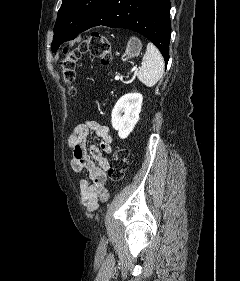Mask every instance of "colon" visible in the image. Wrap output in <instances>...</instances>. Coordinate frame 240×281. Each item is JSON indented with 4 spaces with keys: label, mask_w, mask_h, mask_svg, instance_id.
I'll return each mask as SVG.
<instances>
[{
    "label": "colon",
    "mask_w": 240,
    "mask_h": 281,
    "mask_svg": "<svg viewBox=\"0 0 240 281\" xmlns=\"http://www.w3.org/2000/svg\"><path fill=\"white\" fill-rule=\"evenodd\" d=\"M85 54L98 57L104 65L110 64L112 60L111 44L108 38L99 34L92 33L86 40L79 43L76 47L66 50L64 58L60 62L63 80L70 86L76 76V64ZM70 91L73 88L70 86ZM128 163V152L124 148H118L111 161L108 175L113 183L122 181Z\"/></svg>",
    "instance_id": "colon-1"
}]
</instances>
